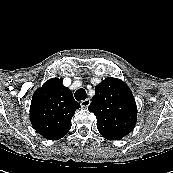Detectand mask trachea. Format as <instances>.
Wrapping results in <instances>:
<instances>
[{
	"label": "trachea",
	"instance_id": "trachea-1",
	"mask_svg": "<svg viewBox=\"0 0 173 173\" xmlns=\"http://www.w3.org/2000/svg\"><path fill=\"white\" fill-rule=\"evenodd\" d=\"M74 96H75V99L78 101L85 100L87 97V93H86L85 89L80 88L75 92Z\"/></svg>",
	"mask_w": 173,
	"mask_h": 173
}]
</instances>
